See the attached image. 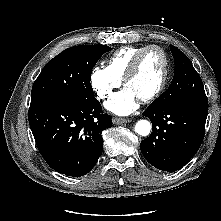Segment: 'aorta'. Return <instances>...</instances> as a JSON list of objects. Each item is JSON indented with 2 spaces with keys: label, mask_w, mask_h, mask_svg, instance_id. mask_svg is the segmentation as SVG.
<instances>
[{
  "label": "aorta",
  "mask_w": 221,
  "mask_h": 221,
  "mask_svg": "<svg viewBox=\"0 0 221 221\" xmlns=\"http://www.w3.org/2000/svg\"><path fill=\"white\" fill-rule=\"evenodd\" d=\"M151 124L148 120H139L135 125V132L142 136L150 134Z\"/></svg>",
  "instance_id": "762f6f07"
}]
</instances>
